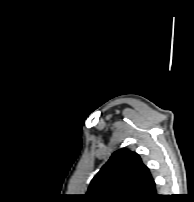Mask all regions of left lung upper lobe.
I'll use <instances>...</instances> for the list:
<instances>
[{"label":"left lung upper lobe","instance_id":"left-lung-upper-lobe-1","mask_svg":"<svg viewBox=\"0 0 194 202\" xmlns=\"http://www.w3.org/2000/svg\"><path fill=\"white\" fill-rule=\"evenodd\" d=\"M86 195L89 202H149L157 196L155 182L140 156L124 149L112 154Z\"/></svg>","mask_w":194,"mask_h":202}]
</instances>
